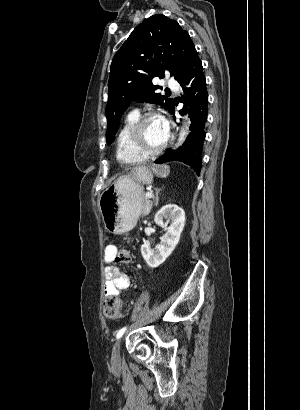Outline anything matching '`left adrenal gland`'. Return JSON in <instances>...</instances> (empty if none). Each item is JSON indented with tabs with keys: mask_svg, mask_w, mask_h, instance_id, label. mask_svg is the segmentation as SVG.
I'll return each mask as SVG.
<instances>
[{
	"mask_svg": "<svg viewBox=\"0 0 300 410\" xmlns=\"http://www.w3.org/2000/svg\"><path fill=\"white\" fill-rule=\"evenodd\" d=\"M155 191H156V193H155V204L154 205H157V203L159 201V196L158 195H159V192L161 191V189L156 188Z\"/></svg>",
	"mask_w": 300,
	"mask_h": 410,
	"instance_id": "1",
	"label": "left adrenal gland"
}]
</instances>
